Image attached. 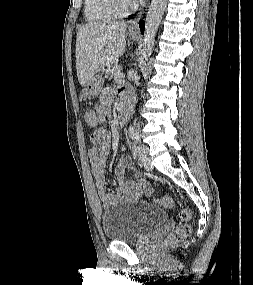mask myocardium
<instances>
[{"instance_id":"obj_1","label":"myocardium","mask_w":253,"mask_h":285,"mask_svg":"<svg viewBox=\"0 0 253 285\" xmlns=\"http://www.w3.org/2000/svg\"><path fill=\"white\" fill-rule=\"evenodd\" d=\"M112 8L118 13V15H124L136 8V4H125L123 0H110Z\"/></svg>"}]
</instances>
